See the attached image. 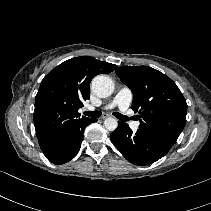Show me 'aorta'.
<instances>
[{"label":"aorta","instance_id":"aorta-1","mask_svg":"<svg viewBox=\"0 0 211 211\" xmlns=\"http://www.w3.org/2000/svg\"><path fill=\"white\" fill-rule=\"evenodd\" d=\"M91 88L98 97L106 98L113 93L114 83L108 76L98 75L92 80ZM104 126L108 131H114L118 123L115 118L109 117L105 119Z\"/></svg>","mask_w":211,"mask_h":211}]
</instances>
